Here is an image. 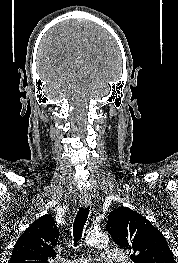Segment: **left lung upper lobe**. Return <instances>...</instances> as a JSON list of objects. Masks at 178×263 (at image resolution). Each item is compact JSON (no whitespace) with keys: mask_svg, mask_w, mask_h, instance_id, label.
Returning a JSON list of instances; mask_svg holds the SVG:
<instances>
[{"mask_svg":"<svg viewBox=\"0 0 178 263\" xmlns=\"http://www.w3.org/2000/svg\"><path fill=\"white\" fill-rule=\"evenodd\" d=\"M106 229L117 245L132 253L135 263H176L162 233L127 207L111 211Z\"/></svg>","mask_w":178,"mask_h":263,"instance_id":"left-lung-upper-lobe-1","label":"left lung upper lobe"}]
</instances>
